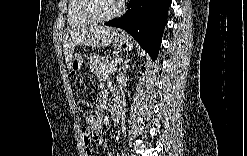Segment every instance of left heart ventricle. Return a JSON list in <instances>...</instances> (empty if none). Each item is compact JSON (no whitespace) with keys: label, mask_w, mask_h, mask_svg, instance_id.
I'll return each mask as SVG.
<instances>
[{"label":"left heart ventricle","mask_w":247,"mask_h":156,"mask_svg":"<svg viewBox=\"0 0 247 156\" xmlns=\"http://www.w3.org/2000/svg\"><path fill=\"white\" fill-rule=\"evenodd\" d=\"M117 5L116 1H96L92 9L97 16H107L115 11Z\"/></svg>","instance_id":"left-heart-ventricle-1"}]
</instances>
